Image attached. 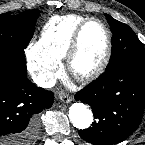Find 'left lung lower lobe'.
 Returning a JSON list of instances; mask_svg holds the SVG:
<instances>
[{"mask_svg":"<svg viewBox=\"0 0 145 145\" xmlns=\"http://www.w3.org/2000/svg\"><path fill=\"white\" fill-rule=\"evenodd\" d=\"M91 106L92 126L79 130L85 141L112 145L123 141L139 126L145 107V69L126 65L106 71L75 95Z\"/></svg>","mask_w":145,"mask_h":145,"instance_id":"obj_1","label":"left lung lower lobe"}]
</instances>
